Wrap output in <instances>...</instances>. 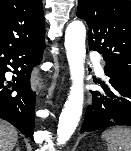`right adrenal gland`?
Returning a JSON list of instances; mask_svg holds the SVG:
<instances>
[{"instance_id": "right-adrenal-gland-1", "label": "right adrenal gland", "mask_w": 131, "mask_h": 151, "mask_svg": "<svg viewBox=\"0 0 131 151\" xmlns=\"http://www.w3.org/2000/svg\"><path fill=\"white\" fill-rule=\"evenodd\" d=\"M15 151H20L19 147H16V150Z\"/></svg>"}]
</instances>
